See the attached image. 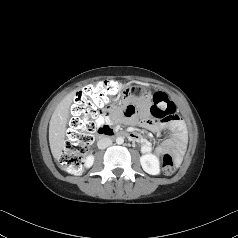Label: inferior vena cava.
I'll return each instance as SVG.
<instances>
[{"label": "inferior vena cava", "mask_w": 238, "mask_h": 238, "mask_svg": "<svg viewBox=\"0 0 238 238\" xmlns=\"http://www.w3.org/2000/svg\"><path fill=\"white\" fill-rule=\"evenodd\" d=\"M110 145H112V140L108 137L101 138L97 143V146L99 149H105L109 147Z\"/></svg>", "instance_id": "inferior-vena-cava-1"}]
</instances>
